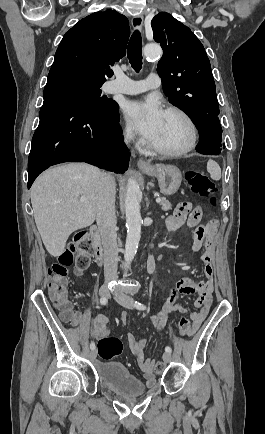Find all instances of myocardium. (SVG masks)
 Returning <instances> with one entry per match:
<instances>
[{
  "instance_id": "1",
  "label": "myocardium",
  "mask_w": 265,
  "mask_h": 434,
  "mask_svg": "<svg viewBox=\"0 0 265 434\" xmlns=\"http://www.w3.org/2000/svg\"><path fill=\"white\" fill-rule=\"evenodd\" d=\"M165 114H176L178 116H180L187 124L188 126V140L185 143L184 146H182L179 149L176 150H163V149H159L155 146H153L151 143L148 144V147L150 149V151L157 155V156H161V157H166V158H178V157H182L184 155H186L187 153L191 152L196 144H197V140H198V129L197 126L193 120V118L181 107L179 106H169L165 109Z\"/></svg>"
}]
</instances>
